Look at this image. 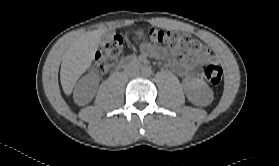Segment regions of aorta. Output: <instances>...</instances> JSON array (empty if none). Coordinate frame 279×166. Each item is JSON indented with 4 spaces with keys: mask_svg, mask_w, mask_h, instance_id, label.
I'll return each mask as SVG.
<instances>
[{
    "mask_svg": "<svg viewBox=\"0 0 279 166\" xmlns=\"http://www.w3.org/2000/svg\"><path fill=\"white\" fill-rule=\"evenodd\" d=\"M141 74H142V76L148 77L152 74V70L149 66H144L141 69Z\"/></svg>",
    "mask_w": 279,
    "mask_h": 166,
    "instance_id": "aorta-1",
    "label": "aorta"
}]
</instances>
